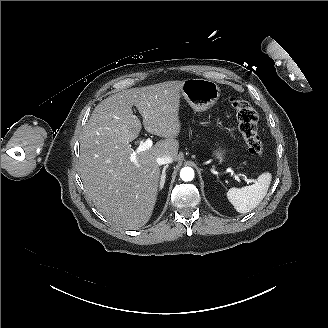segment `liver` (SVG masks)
I'll return each instance as SVG.
<instances>
[{
  "instance_id": "liver-1",
  "label": "liver",
  "mask_w": 328,
  "mask_h": 328,
  "mask_svg": "<svg viewBox=\"0 0 328 328\" xmlns=\"http://www.w3.org/2000/svg\"><path fill=\"white\" fill-rule=\"evenodd\" d=\"M181 86L182 81H167L113 94L95 107L80 136L84 187L99 212L124 229L142 227L152 215L160 177L157 157L177 160ZM133 105L145 130L165 138L136 153L139 167L130 160L135 151L129 143L142 129Z\"/></svg>"
}]
</instances>
